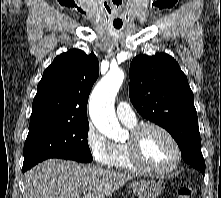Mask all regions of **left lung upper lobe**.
Segmentation results:
<instances>
[{"label": "left lung upper lobe", "mask_w": 221, "mask_h": 198, "mask_svg": "<svg viewBox=\"0 0 221 198\" xmlns=\"http://www.w3.org/2000/svg\"><path fill=\"white\" fill-rule=\"evenodd\" d=\"M129 96L144 118L172 135L184 161L204 173L193 92L174 58L165 53L135 57L130 65Z\"/></svg>", "instance_id": "1"}]
</instances>
